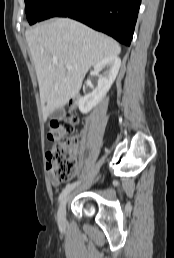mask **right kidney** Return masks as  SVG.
Segmentation results:
<instances>
[{"label": "right kidney", "mask_w": 174, "mask_h": 258, "mask_svg": "<svg viewBox=\"0 0 174 258\" xmlns=\"http://www.w3.org/2000/svg\"><path fill=\"white\" fill-rule=\"evenodd\" d=\"M120 65L121 60L118 56L104 58L94 65L95 73H98L102 68H107V72L99 78L98 86L92 93L79 99L78 106L81 113L87 114L104 98L116 79Z\"/></svg>", "instance_id": "1"}]
</instances>
